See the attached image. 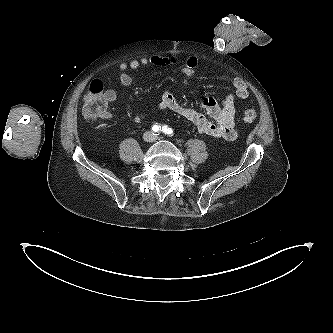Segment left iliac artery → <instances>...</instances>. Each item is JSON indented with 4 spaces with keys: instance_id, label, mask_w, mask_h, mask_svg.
I'll return each mask as SVG.
<instances>
[{
    "instance_id": "1",
    "label": "left iliac artery",
    "mask_w": 333,
    "mask_h": 333,
    "mask_svg": "<svg viewBox=\"0 0 333 333\" xmlns=\"http://www.w3.org/2000/svg\"><path fill=\"white\" fill-rule=\"evenodd\" d=\"M162 131H163L165 134H167V135H170V136L173 135V130H172V128L168 127L167 125H164V126L162 127Z\"/></svg>"
}]
</instances>
